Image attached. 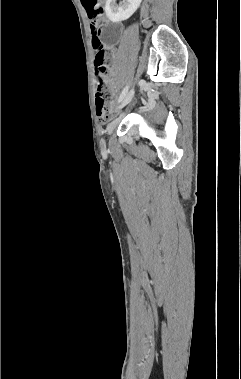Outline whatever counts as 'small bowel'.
Here are the masks:
<instances>
[{"label":"small bowel","mask_w":241,"mask_h":379,"mask_svg":"<svg viewBox=\"0 0 241 379\" xmlns=\"http://www.w3.org/2000/svg\"><path fill=\"white\" fill-rule=\"evenodd\" d=\"M111 76V74H107V77H106V81L111 85V86H113V87H115L116 86V82H115V80L113 79V78H111L110 77Z\"/></svg>","instance_id":"obj_1"}]
</instances>
